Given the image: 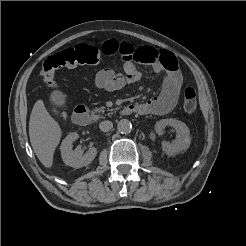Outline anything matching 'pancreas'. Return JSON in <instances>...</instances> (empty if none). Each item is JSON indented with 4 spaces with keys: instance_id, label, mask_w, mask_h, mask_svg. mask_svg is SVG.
<instances>
[{
    "instance_id": "1",
    "label": "pancreas",
    "mask_w": 246,
    "mask_h": 246,
    "mask_svg": "<svg viewBox=\"0 0 246 246\" xmlns=\"http://www.w3.org/2000/svg\"><path fill=\"white\" fill-rule=\"evenodd\" d=\"M106 110L109 111V114H112L114 112V109H108V108L106 109L105 107H100L95 109L97 113H104ZM99 117L100 115H97L95 118H99Z\"/></svg>"
}]
</instances>
